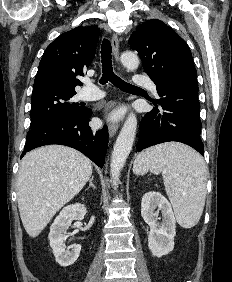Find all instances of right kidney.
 <instances>
[{
    "label": "right kidney",
    "instance_id": "right-kidney-1",
    "mask_svg": "<svg viewBox=\"0 0 232 282\" xmlns=\"http://www.w3.org/2000/svg\"><path fill=\"white\" fill-rule=\"evenodd\" d=\"M86 207L83 204H73L62 209L50 227L49 240L56 262L63 267L72 265L79 257L81 245L75 244L71 251L66 250L64 233L73 220H83L86 215Z\"/></svg>",
    "mask_w": 232,
    "mask_h": 282
}]
</instances>
